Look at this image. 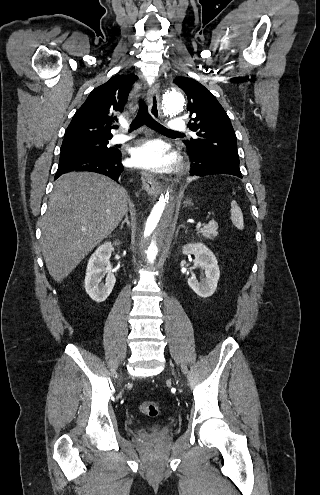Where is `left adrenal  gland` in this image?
<instances>
[{
    "label": "left adrenal gland",
    "mask_w": 320,
    "mask_h": 495,
    "mask_svg": "<svg viewBox=\"0 0 320 495\" xmlns=\"http://www.w3.org/2000/svg\"><path fill=\"white\" fill-rule=\"evenodd\" d=\"M180 228H184V226H183V225H181V226L179 227V229H180ZM179 229L177 230V234H178V232H179Z\"/></svg>",
    "instance_id": "a2214340"
}]
</instances>
